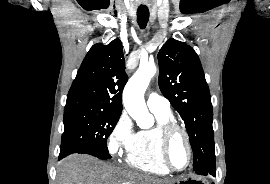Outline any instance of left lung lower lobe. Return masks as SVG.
Wrapping results in <instances>:
<instances>
[{
    "mask_svg": "<svg viewBox=\"0 0 270 184\" xmlns=\"http://www.w3.org/2000/svg\"><path fill=\"white\" fill-rule=\"evenodd\" d=\"M208 173L211 174V175H213V176L216 175V171L215 170L214 171H204V172H201L200 175H207Z\"/></svg>",
    "mask_w": 270,
    "mask_h": 184,
    "instance_id": "1",
    "label": "left lung lower lobe"
}]
</instances>
